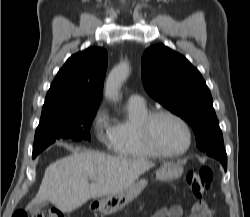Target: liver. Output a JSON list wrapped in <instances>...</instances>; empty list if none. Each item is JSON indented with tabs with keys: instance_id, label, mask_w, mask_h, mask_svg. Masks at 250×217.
<instances>
[{
	"instance_id": "1",
	"label": "liver",
	"mask_w": 250,
	"mask_h": 217,
	"mask_svg": "<svg viewBox=\"0 0 250 217\" xmlns=\"http://www.w3.org/2000/svg\"><path fill=\"white\" fill-rule=\"evenodd\" d=\"M152 167V162L143 159L76 152L47 167L38 193L27 209L49 201L60 211L71 212L89 199L122 192ZM92 177L97 182L90 184Z\"/></svg>"
}]
</instances>
